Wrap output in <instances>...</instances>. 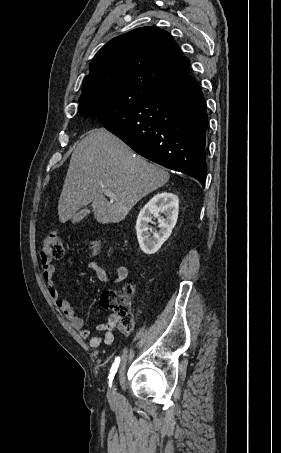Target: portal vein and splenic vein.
<instances>
[{
	"mask_svg": "<svg viewBox=\"0 0 281 453\" xmlns=\"http://www.w3.org/2000/svg\"><path fill=\"white\" fill-rule=\"evenodd\" d=\"M103 190L104 194H106V196H109V198H117L116 194H114L112 190H106V188H103Z\"/></svg>",
	"mask_w": 281,
	"mask_h": 453,
	"instance_id": "obj_1",
	"label": "portal vein and splenic vein"
}]
</instances>
